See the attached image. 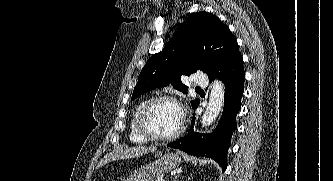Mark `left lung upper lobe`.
<instances>
[{"label": "left lung upper lobe", "mask_w": 333, "mask_h": 181, "mask_svg": "<svg viewBox=\"0 0 333 181\" xmlns=\"http://www.w3.org/2000/svg\"><path fill=\"white\" fill-rule=\"evenodd\" d=\"M238 46L221 20L208 12L191 14L160 53L153 55L138 77L131 99L169 84L187 94L181 76L202 70L210 75ZM199 100L191 101L192 107Z\"/></svg>", "instance_id": "obj_1"}]
</instances>
